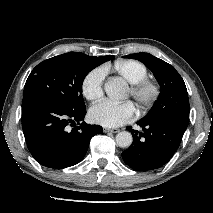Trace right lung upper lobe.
Segmentation results:
<instances>
[{
	"mask_svg": "<svg viewBox=\"0 0 213 213\" xmlns=\"http://www.w3.org/2000/svg\"><path fill=\"white\" fill-rule=\"evenodd\" d=\"M88 59L92 60L93 62L96 63V65L111 60L114 58V56H101V57H95V56H88L86 54H84Z\"/></svg>",
	"mask_w": 213,
	"mask_h": 213,
	"instance_id": "obj_1",
	"label": "right lung upper lobe"
}]
</instances>
